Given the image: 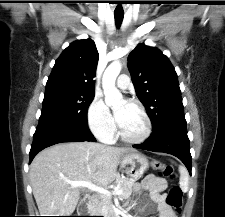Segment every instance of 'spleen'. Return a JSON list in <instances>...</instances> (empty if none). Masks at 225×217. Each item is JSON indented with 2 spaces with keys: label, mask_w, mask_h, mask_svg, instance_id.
Instances as JSON below:
<instances>
[{
  "label": "spleen",
  "mask_w": 225,
  "mask_h": 217,
  "mask_svg": "<svg viewBox=\"0 0 225 217\" xmlns=\"http://www.w3.org/2000/svg\"><path fill=\"white\" fill-rule=\"evenodd\" d=\"M179 173H180V188L183 192L188 191V181H189V174L187 169L184 166H179Z\"/></svg>",
  "instance_id": "1"
}]
</instances>
